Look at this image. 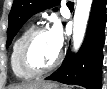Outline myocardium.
<instances>
[{"mask_svg":"<svg viewBox=\"0 0 107 89\" xmlns=\"http://www.w3.org/2000/svg\"><path fill=\"white\" fill-rule=\"evenodd\" d=\"M45 32H49V29L47 27H44V26L35 27L31 31V33L28 35L26 40L24 41L22 49H21V54H20L21 66L26 72L34 76L45 74L47 72L52 71L61 63L62 58H63L62 52L59 51V54L54 60V62L48 66H39L32 62L31 50H32L33 44L35 40L37 39V37L40 34L45 33Z\"/></svg>","mask_w":107,"mask_h":89,"instance_id":"obj_1","label":"myocardium"}]
</instances>
